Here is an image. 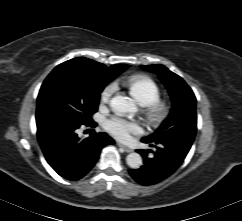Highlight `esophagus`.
<instances>
[{
    "instance_id": "34e87169",
    "label": "esophagus",
    "mask_w": 242,
    "mask_h": 221,
    "mask_svg": "<svg viewBox=\"0 0 242 221\" xmlns=\"http://www.w3.org/2000/svg\"><path fill=\"white\" fill-rule=\"evenodd\" d=\"M118 146L120 147V148H122L125 152H127V153H130V152H132L133 150L131 149V148H129V147H127V146H124V145H122V144H118Z\"/></svg>"
}]
</instances>
